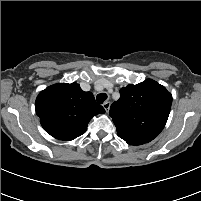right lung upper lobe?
I'll return each mask as SVG.
<instances>
[{
	"instance_id": "1",
	"label": "right lung upper lobe",
	"mask_w": 201,
	"mask_h": 201,
	"mask_svg": "<svg viewBox=\"0 0 201 201\" xmlns=\"http://www.w3.org/2000/svg\"><path fill=\"white\" fill-rule=\"evenodd\" d=\"M36 114L44 130L56 139L70 141L85 133L90 119L105 112L91 92L77 83H58L37 96Z\"/></svg>"
}]
</instances>
